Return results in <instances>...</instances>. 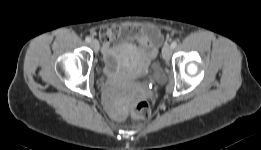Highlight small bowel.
Wrapping results in <instances>:
<instances>
[{
	"label": "small bowel",
	"instance_id": "small-bowel-1",
	"mask_svg": "<svg viewBox=\"0 0 261 150\" xmlns=\"http://www.w3.org/2000/svg\"><path fill=\"white\" fill-rule=\"evenodd\" d=\"M123 33L136 41V46L132 48L141 58H154L163 40L161 32L153 26H145L134 33L120 27L105 28L100 32V39L105 45L104 49L109 48L112 40Z\"/></svg>",
	"mask_w": 261,
	"mask_h": 150
}]
</instances>
